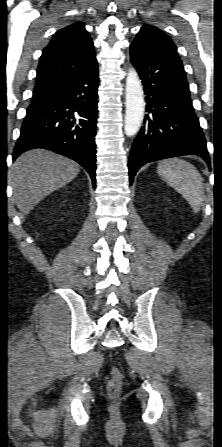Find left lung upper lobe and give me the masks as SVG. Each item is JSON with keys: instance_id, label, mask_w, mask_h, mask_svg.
<instances>
[{"instance_id": "1", "label": "left lung upper lobe", "mask_w": 222, "mask_h": 447, "mask_svg": "<svg viewBox=\"0 0 222 447\" xmlns=\"http://www.w3.org/2000/svg\"><path fill=\"white\" fill-rule=\"evenodd\" d=\"M137 35L146 36L148 38L157 39L165 42L173 48H176L172 40L157 27L152 25H144Z\"/></svg>"}]
</instances>
